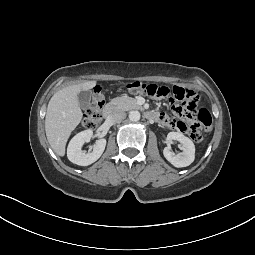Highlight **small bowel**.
Returning a JSON list of instances; mask_svg holds the SVG:
<instances>
[{"mask_svg":"<svg viewBox=\"0 0 255 255\" xmlns=\"http://www.w3.org/2000/svg\"><path fill=\"white\" fill-rule=\"evenodd\" d=\"M176 107V106H175ZM174 107V109H175ZM175 111V110H174ZM176 113V112H175ZM158 114V113H157ZM177 115H180L176 113ZM181 116V115H180ZM157 120L165 127L175 129L179 132L187 133L191 129H197V126L188 118H173L165 113L158 114Z\"/></svg>","mask_w":255,"mask_h":255,"instance_id":"1","label":"small bowel"}]
</instances>
